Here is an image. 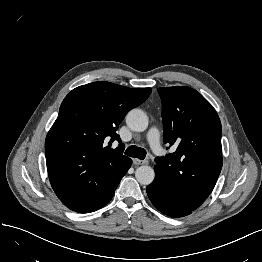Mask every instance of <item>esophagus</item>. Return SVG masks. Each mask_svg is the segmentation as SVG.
I'll return each mask as SVG.
<instances>
[{"instance_id":"34e87169","label":"esophagus","mask_w":262,"mask_h":262,"mask_svg":"<svg viewBox=\"0 0 262 262\" xmlns=\"http://www.w3.org/2000/svg\"><path fill=\"white\" fill-rule=\"evenodd\" d=\"M133 163L135 165H144V164H147V161L146 160H140V159H133Z\"/></svg>"}]
</instances>
